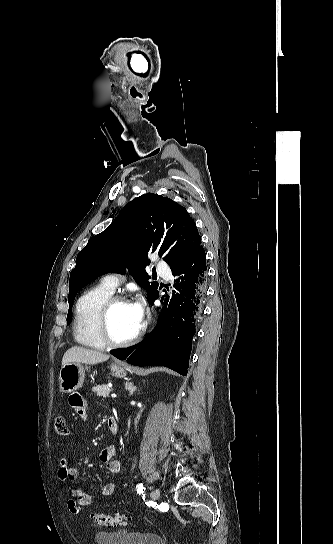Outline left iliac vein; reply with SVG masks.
<instances>
[{
    "label": "left iliac vein",
    "mask_w": 333,
    "mask_h": 544,
    "mask_svg": "<svg viewBox=\"0 0 333 544\" xmlns=\"http://www.w3.org/2000/svg\"><path fill=\"white\" fill-rule=\"evenodd\" d=\"M160 497V492L159 490L155 489L151 492V498L153 501H157Z\"/></svg>",
    "instance_id": "left-iliac-vein-1"
}]
</instances>
